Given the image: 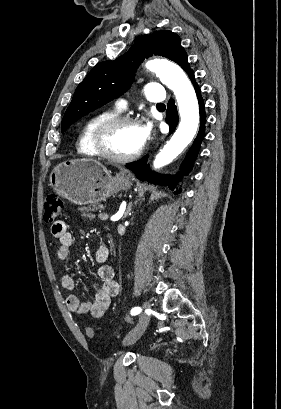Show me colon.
Instances as JSON below:
<instances>
[{
  "label": "colon",
  "mask_w": 281,
  "mask_h": 409,
  "mask_svg": "<svg viewBox=\"0 0 281 409\" xmlns=\"http://www.w3.org/2000/svg\"><path fill=\"white\" fill-rule=\"evenodd\" d=\"M44 208H45V213H44L45 220L48 222H52L59 218L62 212L63 203L57 195L52 194V195L46 196L44 200ZM86 333L89 336H93L94 330L91 328H88L86 330Z\"/></svg>",
  "instance_id": "5ec220e1"
}]
</instances>
